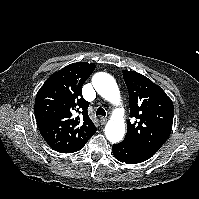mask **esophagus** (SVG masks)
<instances>
[{
  "instance_id": "1",
  "label": "esophagus",
  "mask_w": 199,
  "mask_h": 199,
  "mask_svg": "<svg viewBox=\"0 0 199 199\" xmlns=\"http://www.w3.org/2000/svg\"><path fill=\"white\" fill-rule=\"evenodd\" d=\"M106 122H107V119H106V118H104V117H101V118H100V123H101L102 125L106 124Z\"/></svg>"
}]
</instances>
